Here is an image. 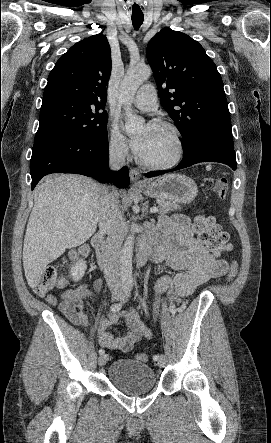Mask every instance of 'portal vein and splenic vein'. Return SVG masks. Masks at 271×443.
<instances>
[{
	"label": "portal vein and splenic vein",
	"mask_w": 271,
	"mask_h": 443,
	"mask_svg": "<svg viewBox=\"0 0 271 443\" xmlns=\"http://www.w3.org/2000/svg\"><path fill=\"white\" fill-rule=\"evenodd\" d=\"M150 212L151 214H155V212H158V208H151Z\"/></svg>",
	"instance_id": "obj_1"
}]
</instances>
